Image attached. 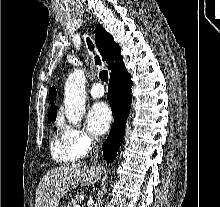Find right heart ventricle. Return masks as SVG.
<instances>
[{"mask_svg":"<svg viewBox=\"0 0 220 207\" xmlns=\"http://www.w3.org/2000/svg\"><path fill=\"white\" fill-rule=\"evenodd\" d=\"M50 150L53 159L62 164L74 163L85 155L69 140L63 129L57 130L52 135Z\"/></svg>","mask_w":220,"mask_h":207,"instance_id":"obj_1","label":"right heart ventricle"}]
</instances>
